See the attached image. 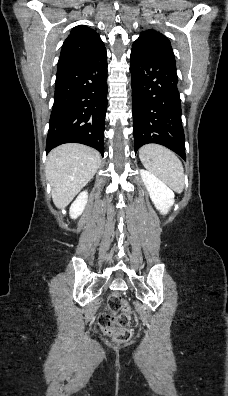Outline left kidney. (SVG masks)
Here are the masks:
<instances>
[{
    "label": "left kidney",
    "mask_w": 228,
    "mask_h": 396,
    "mask_svg": "<svg viewBox=\"0 0 228 396\" xmlns=\"http://www.w3.org/2000/svg\"><path fill=\"white\" fill-rule=\"evenodd\" d=\"M140 175L156 209L167 214L174 204V192L152 173L142 169Z\"/></svg>",
    "instance_id": "left-kidney-1"
}]
</instances>
